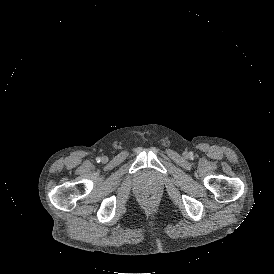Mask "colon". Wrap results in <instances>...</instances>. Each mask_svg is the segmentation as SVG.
Listing matches in <instances>:
<instances>
[{"mask_svg":"<svg viewBox=\"0 0 274 274\" xmlns=\"http://www.w3.org/2000/svg\"><path fill=\"white\" fill-rule=\"evenodd\" d=\"M159 200V195L155 191H150L148 193H143L139 197V202L143 206L154 207L157 205Z\"/></svg>","mask_w":274,"mask_h":274,"instance_id":"1","label":"colon"}]
</instances>
